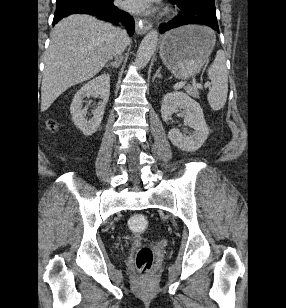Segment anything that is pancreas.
Here are the masks:
<instances>
[{"label": "pancreas", "mask_w": 286, "mask_h": 308, "mask_svg": "<svg viewBox=\"0 0 286 308\" xmlns=\"http://www.w3.org/2000/svg\"><path fill=\"white\" fill-rule=\"evenodd\" d=\"M187 92H188L189 95H191L194 98L199 97V92H198L196 87H188Z\"/></svg>", "instance_id": "1"}]
</instances>
